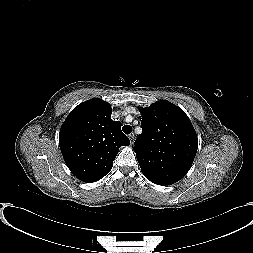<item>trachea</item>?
Listing matches in <instances>:
<instances>
[{
  "label": "trachea",
  "mask_w": 253,
  "mask_h": 253,
  "mask_svg": "<svg viewBox=\"0 0 253 253\" xmlns=\"http://www.w3.org/2000/svg\"><path fill=\"white\" fill-rule=\"evenodd\" d=\"M122 130L125 134H130L132 132V127L130 125H124Z\"/></svg>",
  "instance_id": "trachea-1"
}]
</instances>
